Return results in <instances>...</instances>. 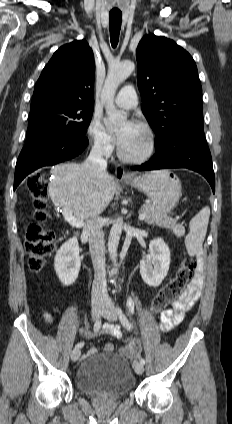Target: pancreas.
<instances>
[{"label": "pancreas", "mask_w": 232, "mask_h": 424, "mask_svg": "<svg viewBox=\"0 0 232 424\" xmlns=\"http://www.w3.org/2000/svg\"><path fill=\"white\" fill-rule=\"evenodd\" d=\"M141 213H145L146 217L144 222L147 224L158 225L162 228L174 230L177 224V219L167 216L158 209L154 208L151 204H145L141 207Z\"/></svg>", "instance_id": "obj_1"}]
</instances>
